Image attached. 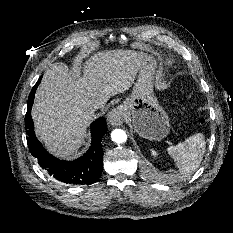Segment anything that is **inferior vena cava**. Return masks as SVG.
Segmentation results:
<instances>
[{
	"label": "inferior vena cava",
	"mask_w": 233,
	"mask_h": 233,
	"mask_svg": "<svg viewBox=\"0 0 233 233\" xmlns=\"http://www.w3.org/2000/svg\"><path fill=\"white\" fill-rule=\"evenodd\" d=\"M100 106L99 105H95L93 107V112H99Z\"/></svg>",
	"instance_id": "inferior-vena-cava-1"
}]
</instances>
